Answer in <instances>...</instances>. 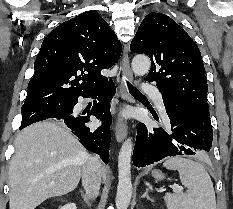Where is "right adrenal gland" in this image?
Segmentation results:
<instances>
[{
	"label": "right adrenal gland",
	"mask_w": 233,
	"mask_h": 209,
	"mask_svg": "<svg viewBox=\"0 0 233 209\" xmlns=\"http://www.w3.org/2000/svg\"><path fill=\"white\" fill-rule=\"evenodd\" d=\"M82 198L84 199L85 203L90 206L91 201L89 200V198L87 197V195L83 192V190H80Z\"/></svg>",
	"instance_id": "1"
}]
</instances>
